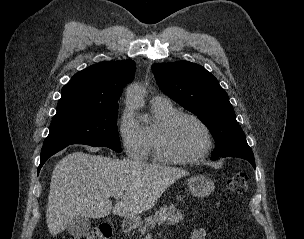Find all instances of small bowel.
Returning <instances> with one entry per match:
<instances>
[{"label": "small bowel", "instance_id": "c3829d8e", "mask_svg": "<svg viewBox=\"0 0 304 239\" xmlns=\"http://www.w3.org/2000/svg\"><path fill=\"white\" fill-rule=\"evenodd\" d=\"M205 238H206L205 231L201 228L194 229L189 237V239H205Z\"/></svg>", "mask_w": 304, "mask_h": 239}]
</instances>
